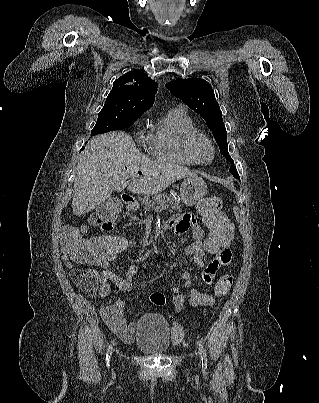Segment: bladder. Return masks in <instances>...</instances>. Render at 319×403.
Here are the masks:
<instances>
[{
	"label": "bladder",
	"mask_w": 319,
	"mask_h": 403,
	"mask_svg": "<svg viewBox=\"0 0 319 403\" xmlns=\"http://www.w3.org/2000/svg\"><path fill=\"white\" fill-rule=\"evenodd\" d=\"M133 345L145 354L158 355L170 348V328L164 316L147 313L137 322V333Z\"/></svg>",
	"instance_id": "obj_1"
}]
</instances>
